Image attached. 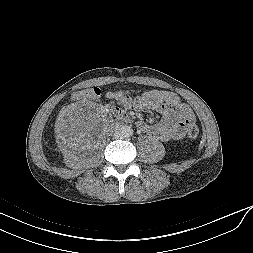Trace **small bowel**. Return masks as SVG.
<instances>
[{
    "label": "small bowel",
    "instance_id": "c3829d8e",
    "mask_svg": "<svg viewBox=\"0 0 253 253\" xmlns=\"http://www.w3.org/2000/svg\"><path fill=\"white\" fill-rule=\"evenodd\" d=\"M118 103L125 107L133 106L137 110H154L163 118L155 125L144 122L139 123L140 129L154 138L168 142L182 139L195 117L191 108L185 104L178 95L165 90H152L143 93L134 99L122 95L121 92L113 93Z\"/></svg>",
    "mask_w": 253,
    "mask_h": 253
}]
</instances>
